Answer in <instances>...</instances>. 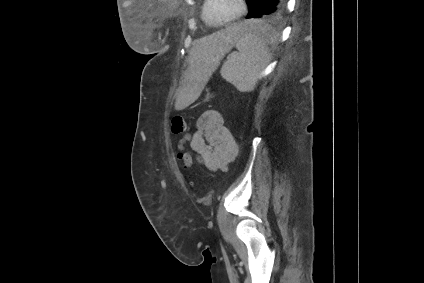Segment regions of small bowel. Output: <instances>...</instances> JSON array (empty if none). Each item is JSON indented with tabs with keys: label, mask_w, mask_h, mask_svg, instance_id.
Masks as SVG:
<instances>
[{
	"label": "small bowel",
	"mask_w": 424,
	"mask_h": 283,
	"mask_svg": "<svg viewBox=\"0 0 424 283\" xmlns=\"http://www.w3.org/2000/svg\"><path fill=\"white\" fill-rule=\"evenodd\" d=\"M178 149L183 153H193L197 162L211 171L226 170L238 152L236 141L224 124L223 115L213 109L200 115L195 131L178 141Z\"/></svg>",
	"instance_id": "small-bowel-1"
}]
</instances>
